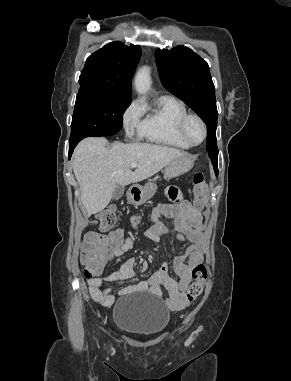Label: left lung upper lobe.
Here are the masks:
<instances>
[{
	"instance_id": "1",
	"label": "left lung upper lobe",
	"mask_w": 291,
	"mask_h": 381,
	"mask_svg": "<svg viewBox=\"0 0 291 381\" xmlns=\"http://www.w3.org/2000/svg\"><path fill=\"white\" fill-rule=\"evenodd\" d=\"M155 57L166 89L189 105L206 123L208 156L213 164H217L218 112L207 62L185 46H177L170 51L157 50Z\"/></svg>"
}]
</instances>
